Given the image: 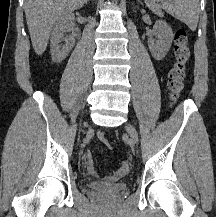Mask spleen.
<instances>
[{"mask_svg":"<svg viewBox=\"0 0 216 217\" xmlns=\"http://www.w3.org/2000/svg\"><path fill=\"white\" fill-rule=\"evenodd\" d=\"M163 9L185 23L192 31H195L198 25L200 4L199 0H160Z\"/></svg>","mask_w":216,"mask_h":217,"instance_id":"3e777b00","label":"spleen"}]
</instances>
